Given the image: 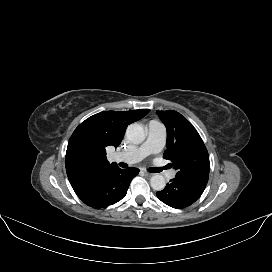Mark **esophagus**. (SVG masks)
Instances as JSON below:
<instances>
[{
	"label": "esophagus",
	"mask_w": 272,
	"mask_h": 272,
	"mask_svg": "<svg viewBox=\"0 0 272 272\" xmlns=\"http://www.w3.org/2000/svg\"><path fill=\"white\" fill-rule=\"evenodd\" d=\"M144 174L148 177H151L153 175V173H150V172H147V171H144Z\"/></svg>",
	"instance_id": "34e87169"
}]
</instances>
